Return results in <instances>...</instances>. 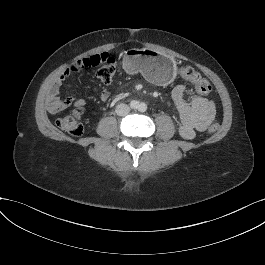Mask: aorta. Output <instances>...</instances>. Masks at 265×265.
<instances>
[{"label": "aorta", "instance_id": "762f6f07", "mask_svg": "<svg viewBox=\"0 0 265 265\" xmlns=\"http://www.w3.org/2000/svg\"><path fill=\"white\" fill-rule=\"evenodd\" d=\"M141 107H144V108H141ZM145 108H146V107H145V104H143V103H142V104L140 103V104L137 105V109H138L139 111H143V110H145Z\"/></svg>", "mask_w": 265, "mask_h": 265}]
</instances>
